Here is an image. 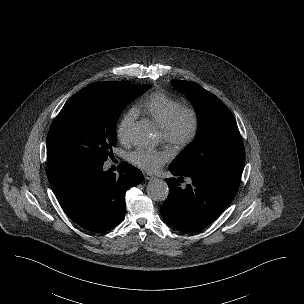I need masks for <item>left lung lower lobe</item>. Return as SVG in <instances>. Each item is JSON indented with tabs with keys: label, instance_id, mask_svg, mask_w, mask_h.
I'll list each match as a JSON object with an SVG mask.
<instances>
[{
	"label": "left lung lower lobe",
	"instance_id": "0a47b994",
	"mask_svg": "<svg viewBox=\"0 0 304 304\" xmlns=\"http://www.w3.org/2000/svg\"><path fill=\"white\" fill-rule=\"evenodd\" d=\"M176 178H167L169 196L161 206L163 220L182 232H195L213 222L235 197L241 176L224 172L199 174L182 173L170 165ZM183 176L190 177L191 185L181 188Z\"/></svg>",
	"mask_w": 304,
	"mask_h": 304
}]
</instances>
